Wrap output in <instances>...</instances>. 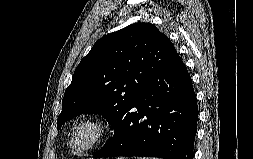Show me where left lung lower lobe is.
Returning <instances> with one entry per match:
<instances>
[{"label":"left lung lower lobe","instance_id":"left-lung-lower-lobe-1","mask_svg":"<svg viewBox=\"0 0 253 159\" xmlns=\"http://www.w3.org/2000/svg\"><path fill=\"white\" fill-rule=\"evenodd\" d=\"M198 107L178 53L145 87L114 136L94 154L193 159Z\"/></svg>","mask_w":253,"mask_h":159}]
</instances>
